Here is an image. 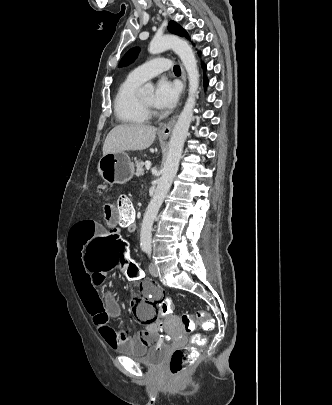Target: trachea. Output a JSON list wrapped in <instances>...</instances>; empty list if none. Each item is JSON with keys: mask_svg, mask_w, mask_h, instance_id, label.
<instances>
[{"mask_svg": "<svg viewBox=\"0 0 332 405\" xmlns=\"http://www.w3.org/2000/svg\"><path fill=\"white\" fill-rule=\"evenodd\" d=\"M173 70H174V73H176V74H180V73H181L180 67H179L178 65H175L174 68H173Z\"/></svg>", "mask_w": 332, "mask_h": 405, "instance_id": "trachea-1", "label": "trachea"}]
</instances>
